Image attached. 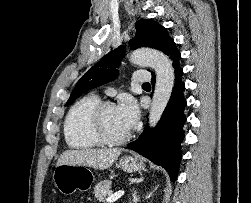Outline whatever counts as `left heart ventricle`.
I'll return each instance as SVG.
<instances>
[{
    "label": "left heart ventricle",
    "instance_id": "b2bd125f",
    "mask_svg": "<svg viewBox=\"0 0 251 203\" xmlns=\"http://www.w3.org/2000/svg\"><path fill=\"white\" fill-rule=\"evenodd\" d=\"M103 121L104 128L111 137H122L129 132L120 120L115 106L106 110Z\"/></svg>",
    "mask_w": 251,
    "mask_h": 203
}]
</instances>
